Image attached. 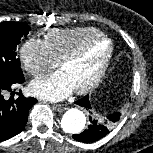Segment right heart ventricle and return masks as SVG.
<instances>
[{"label":"right heart ventricle","mask_w":153,"mask_h":153,"mask_svg":"<svg viewBox=\"0 0 153 153\" xmlns=\"http://www.w3.org/2000/svg\"><path fill=\"white\" fill-rule=\"evenodd\" d=\"M100 34L101 32L93 27L53 29L44 35L43 41L53 59L58 63L86 40Z\"/></svg>","instance_id":"obj_1"}]
</instances>
